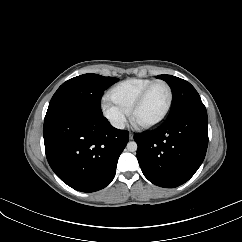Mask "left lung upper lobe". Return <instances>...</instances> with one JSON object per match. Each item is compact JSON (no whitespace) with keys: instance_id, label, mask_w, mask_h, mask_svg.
Instances as JSON below:
<instances>
[{"instance_id":"obj_1","label":"left lung upper lobe","mask_w":242,"mask_h":242,"mask_svg":"<svg viewBox=\"0 0 242 242\" xmlns=\"http://www.w3.org/2000/svg\"><path fill=\"white\" fill-rule=\"evenodd\" d=\"M157 78L165 80L172 89L173 101L168 117L191 107L204 106L189 82L172 75H158Z\"/></svg>"}]
</instances>
